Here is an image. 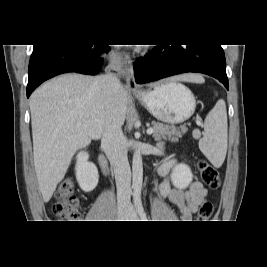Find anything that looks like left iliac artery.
<instances>
[{"mask_svg": "<svg viewBox=\"0 0 267 267\" xmlns=\"http://www.w3.org/2000/svg\"><path fill=\"white\" fill-rule=\"evenodd\" d=\"M138 212L142 221H147L146 213L143 209L142 203L138 204Z\"/></svg>", "mask_w": 267, "mask_h": 267, "instance_id": "obj_1", "label": "left iliac artery"}]
</instances>
